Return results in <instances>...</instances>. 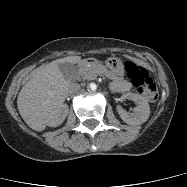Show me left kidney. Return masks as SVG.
I'll return each instance as SVG.
<instances>
[{
	"mask_svg": "<svg viewBox=\"0 0 187 187\" xmlns=\"http://www.w3.org/2000/svg\"><path fill=\"white\" fill-rule=\"evenodd\" d=\"M123 98L134 101L136 107L134 108L133 113H127L121 108H118L121 119L125 123L132 125H139L146 122L150 114L148 101L144 97L135 93H126L123 95Z\"/></svg>",
	"mask_w": 187,
	"mask_h": 187,
	"instance_id": "left-kidney-1",
	"label": "left kidney"
}]
</instances>
